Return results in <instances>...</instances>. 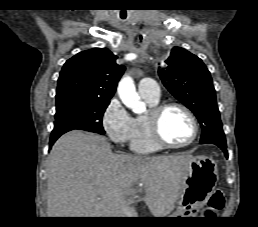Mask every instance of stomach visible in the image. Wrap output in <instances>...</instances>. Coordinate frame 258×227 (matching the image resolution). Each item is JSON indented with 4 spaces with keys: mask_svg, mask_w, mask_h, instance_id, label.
<instances>
[{
    "mask_svg": "<svg viewBox=\"0 0 258 227\" xmlns=\"http://www.w3.org/2000/svg\"><path fill=\"white\" fill-rule=\"evenodd\" d=\"M181 171L178 207L169 217H192L206 204L217 185V165L209 157H193L182 166Z\"/></svg>",
    "mask_w": 258,
    "mask_h": 227,
    "instance_id": "stomach-1",
    "label": "stomach"
}]
</instances>
